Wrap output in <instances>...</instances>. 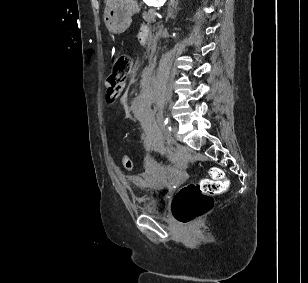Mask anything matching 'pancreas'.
<instances>
[{"instance_id":"cf45deb5","label":"pancreas","mask_w":308,"mask_h":283,"mask_svg":"<svg viewBox=\"0 0 308 283\" xmlns=\"http://www.w3.org/2000/svg\"><path fill=\"white\" fill-rule=\"evenodd\" d=\"M154 11H147L143 13V19L147 22V23H152L156 21V16L153 13Z\"/></svg>"}]
</instances>
